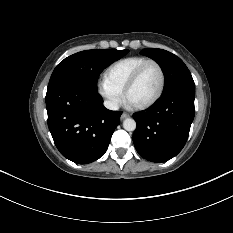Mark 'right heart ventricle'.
<instances>
[{
	"label": "right heart ventricle",
	"mask_w": 233,
	"mask_h": 233,
	"mask_svg": "<svg viewBox=\"0 0 233 233\" xmlns=\"http://www.w3.org/2000/svg\"><path fill=\"white\" fill-rule=\"evenodd\" d=\"M147 60L149 59L143 56H130L120 59L107 68L105 78L123 91L133 72Z\"/></svg>",
	"instance_id": "obj_1"
}]
</instances>
